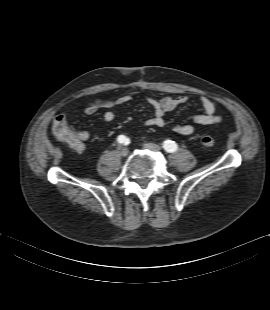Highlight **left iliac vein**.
Wrapping results in <instances>:
<instances>
[{"instance_id": "4c4485c4", "label": "left iliac vein", "mask_w": 270, "mask_h": 310, "mask_svg": "<svg viewBox=\"0 0 270 310\" xmlns=\"http://www.w3.org/2000/svg\"><path fill=\"white\" fill-rule=\"evenodd\" d=\"M144 147L152 151H160L161 147L154 143H145Z\"/></svg>"}]
</instances>
